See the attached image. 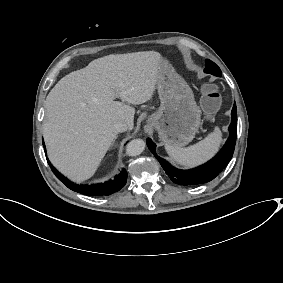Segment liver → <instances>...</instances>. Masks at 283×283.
I'll return each instance as SVG.
<instances>
[{
  "instance_id": "obj_1",
  "label": "liver",
  "mask_w": 283,
  "mask_h": 283,
  "mask_svg": "<svg viewBox=\"0 0 283 283\" xmlns=\"http://www.w3.org/2000/svg\"><path fill=\"white\" fill-rule=\"evenodd\" d=\"M164 66L157 52L108 55L64 76L47 95L43 134L53 164L75 181L98 170L133 105L153 99ZM119 98L122 102L116 101Z\"/></svg>"
}]
</instances>
